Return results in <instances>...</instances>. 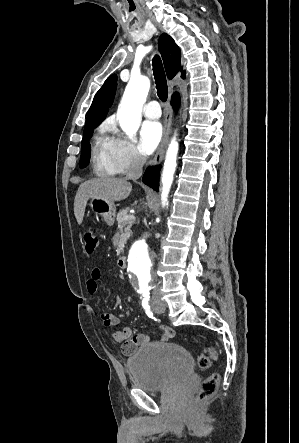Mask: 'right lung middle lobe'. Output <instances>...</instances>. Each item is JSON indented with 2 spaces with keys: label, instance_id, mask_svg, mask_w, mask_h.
<instances>
[{
  "label": "right lung middle lobe",
  "instance_id": "1",
  "mask_svg": "<svg viewBox=\"0 0 299 443\" xmlns=\"http://www.w3.org/2000/svg\"><path fill=\"white\" fill-rule=\"evenodd\" d=\"M97 126L98 125H92L84 129L83 133L84 137L81 143V158H80L81 167H86L89 162L91 151H90V143L88 142V140L92 136L93 129L96 128Z\"/></svg>",
  "mask_w": 299,
  "mask_h": 443
}]
</instances>
